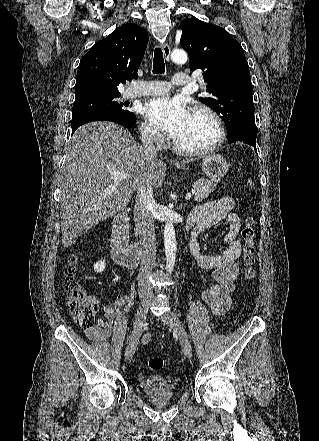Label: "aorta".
<instances>
[{
	"label": "aorta",
	"mask_w": 319,
	"mask_h": 441,
	"mask_svg": "<svg viewBox=\"0 0 319 441\" xmlns=\"http://www.w3.org/2000/svg\"><path fill=\"white\" fill-rule=\"evenodd\" d=\"M171 59L174 63L184 64L187 62L188 55L185 50L178 49L174 50L171 54ZM164 246L166 254V270L171 273L176 258V236L175 229L172 222H168L164 227Z\"/></svg>",
	"instance_id": "1"
}]
</instances>
